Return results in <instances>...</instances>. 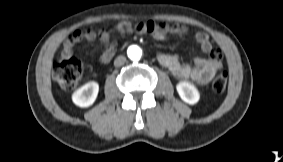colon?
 <instances>
[{"mask_svg": "<svg viewBox=\"0 0 283 162\" xmlns=\"http://www.w3.org/2000/svg\"><path fill=\"white\" fill-rule=\"evenodd\" d=\"M83 67L79 60L74 57L64 58L59 61L54 69V77L59 85L65 89L74 88L81 75ZM228 74L224 70H220L212 82V89L216 93H223L227 86Z\"/></svg>", "mask_w": 283, "mask_h": 162, "instance_id": "1", "label": "colon"}]
</instances>
